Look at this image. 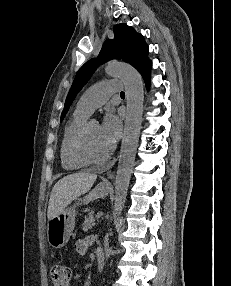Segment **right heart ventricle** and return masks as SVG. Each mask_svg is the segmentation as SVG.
Masks as SVG:
<instances>
[{
  "mask_svg": "<svg viewBox=\"0 0 231 286\" xmlns=\"http://www.w3.org/2000/svg\"><path fill=\"white\" fill-rule=\"evenodd\" d=\"M88 117V113L76 108L65 125L59 150L60 162L65 170L75 171L83 167V165L75 161L72 157L71 144L76 132Z\"/></svg>",
  "mask_w": 231,
  "mask_h": 286,
  "instance_id": "obj_1",
  "label": "right heart ventricle"
}]
</instances>
